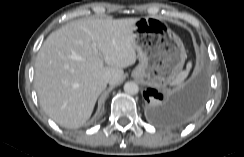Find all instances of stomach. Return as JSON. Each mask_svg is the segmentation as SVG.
<instances>
[{"label":"stomach","mask_w":244,"mask_h":157,"mask_svg":"<svg viewBox=\"0 0 244 157\" xmlns=\"http://www.w3.org/2000/svg\"><path fill=\"white\" fill-rule=\"evenodd\" d=\"M133 45L139 64L132 77L146 79L154 87L171 83L182 71L187 58L184 44L161 19L138 18L133 30Z\"/></svg>","instance_id":"stomach-1"}]
</instances>
